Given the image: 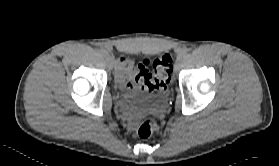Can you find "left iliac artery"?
Masks as SVG:
<instances>
[{
  "label": "left iliac artery",
  "mask_w": 279,
  "mask_h": 166,
  "mask_svg": "<svg viewBox=\"0 0 279 166\" xmlns=\"http://www.w3.org/2000/svg\"><path fill=\"white\" fill-rule=\"evenodd\" d=\"M188 54L187 50H182L181 52L178 53L177 59H182L186 57Z\"/></svg>",
  "instance_id": "44dca946"
}]
</instances>
